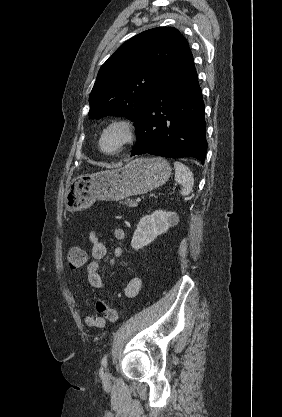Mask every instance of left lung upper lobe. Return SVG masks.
Listing matches in <instances>:
<instances>
[{"label":"left lung upper lobe","instance_id":"1","mask_svg":"<svg viewBox=\"0 0 282 417\" xmlns=\"http://www.w3.org/2000/svg\"><path fill=\"white\" fill-rule=\"evenodd\" d=\"M188 48L173 27L149 29L126 41L98 72L89 117L126 116L136 123L157 85Z\"/></svg>","mask_w":282,"mask_h":417}]
</instances>
